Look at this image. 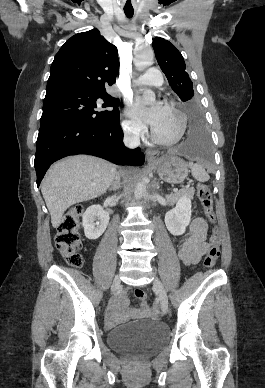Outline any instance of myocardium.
I'll return each instance as SVG.
<instances>
[{
  "label": "myocardium",
  "mask_w": 265,
  "mask_h": 388,
  "mask_svg": "<svg viewBox=\"0 0 265 388\" xmlns=\"http://www.w3.org/2000/svg\"><path fill=\"white\" fill-rule=\"evenodd\" d=\"M165 108L177 118L178 126L175 134L167 137L162 136L157 132L155 126H153L151 133H152L153 139L157 143L165 146H172L178 143L183 138L187 127V117L184 114V112H182L180 109L176 108L173 105L167 104Z\"/></svg>",
  "instance_id": "1"
}]
</instances>
